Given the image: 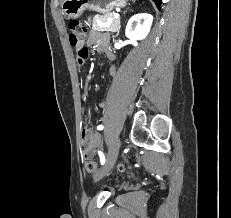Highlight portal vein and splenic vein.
<instances>
[{
	"label": "portal vein and splenic vein",
	"mask_w": 231,
	"mask_h": 218,
	"mask_svg": "<svg viewBox=\"0 0 231 218\" xmlns=\"http://www.w3.org/2000/svg\"><path fill=\"white\" fill-rule=\"evenodd\" d=\"M114 17H115V19H119L120 16H119V14H115ZM111 21H112V19H109V22H111Z\"/></svg>",
	"instance_id": "18ae733b"
}]
</instances>
